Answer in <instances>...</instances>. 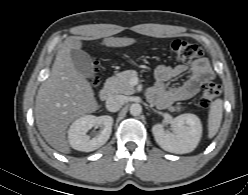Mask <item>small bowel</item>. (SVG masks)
<instances>
[{
    "instance_id": "small-bowel-1",
    "label": "small bowel",
    "mask_w": 248,
    "mask_h": 195,
    "mask_svg": "<svg viewBox=\"0 0 248 195\" xmlns=\"http://www.w3.org/2000/svg\"><path fill=\"white\" fill-rule=\"evenodd\" d=\"M188 71L185 65L174 67L161 65L155 70V84L148 95L152 102L161 108L192 98L200 86L213 78V70L206 59H200L191 66L190 75L179 85L168 88L167 82L184 75Z\"/></svg>"
}]
</instances>
